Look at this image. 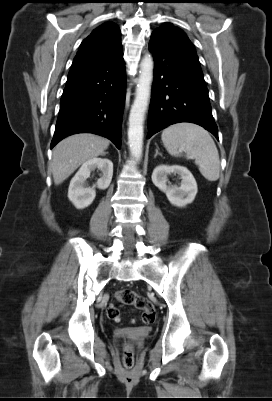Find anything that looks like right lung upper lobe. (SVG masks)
I'll list each match as a JSON object with an SVG mask.
<instances>
[{
	"instance_id": "cb5924a9",
	"label": "right lung upper lobe",
	"mask_w": 272,
	"mask_h": 401,
	"mask_svg": "<svg viewBox=\"0 0 272 401\" xmlns=\"http://www.w3.org/2000/svg\"><path fill=\"white\" fill-rule=\"evenodd\" d=\"M120 49L121 32L118 26L112 22L102 24L82 41L68 77L98 65Z\"/></svg>"
}]
</instances>
